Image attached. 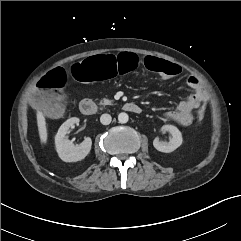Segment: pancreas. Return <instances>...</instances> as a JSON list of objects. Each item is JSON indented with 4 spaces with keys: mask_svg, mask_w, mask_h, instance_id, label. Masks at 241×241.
Wrapping results in <instances>:
<instances>
[{
    "mask_svg": "<svg viewBox=\"0 0 241 241\" xmlns=\"http://www.w3.org/2000/svg\"><path fill=\"white\" fill-rule=\"evenodd\" d=\"M114 103L113 100L107 99V98H103L100 100V104L101 105H112Z\"/></svg>",
    "mask_w": 241,
    "mask_h": 241,
    "instance_id": "cf45deb5",
    "label": "pancreas"
}]
</instances>
